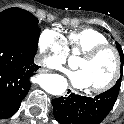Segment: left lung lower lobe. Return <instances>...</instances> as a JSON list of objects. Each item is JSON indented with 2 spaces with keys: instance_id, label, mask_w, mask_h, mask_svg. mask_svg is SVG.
Here are the masks:
<instances>
[{
  "instance_id": "1",
  "label": "left lung lower lobe",
  "mask_w": 124,
  "mask_h": 124,
  "mask_svg": "<svg viewBox=\"0 0 124 124\" xmlns=\"http://www.w3.org/2000/svg\"><path fill=\"white\" fill-rule=\"evenodd\" d=\"M120 88L111 89L94 97L70 93L52 101L53 114L61 124H99L112 110Z\"/></svg>"
}]
</instances>
